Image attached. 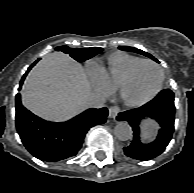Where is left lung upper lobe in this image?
I'll use <instances>...</instances> for the list:
<instances>
[{"label":"left lung upper lobe","instance_id":"5c2ea615","mask_svg":"<svg viewBox=\"0 0 194 193\" xmlns=\"http://www.w3.org/2000/svg\"><path fill=\"white\" fill-rule=\"evenodd\" d=\"M120 49L122 50H126V51H131V52H136V53H139V54H142V55H145L153 60H155L156 62H158L152 55H150L149 53H146L140 49H137V48H133V47H127V46H121L119 47Z\"/></svg>","mask_w":194,"mask_h":193}]
</instances>
